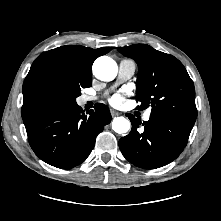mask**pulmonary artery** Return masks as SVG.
<instances>
[{
  "label": "pulmonary artery",
  "mask_w": 221,
  "mask_h": 221,
  "mask_svg": "<svg viewBox=\"0 0 221 221\" xmlns=\"http://www.w3.org/2000/svg\"><path fill=\"white\" fill-rule=\"evenodd\" d=\"M136 71V64L134 61L129 60V59H122L119 62V67H118V76H117V82L121 83L124 81L129 80L135 73ZM98 97L92 96V95H85L82 97V102L87 103L90 101H95L97 100ZM151 115V111L148 110L145 112L143 119L145 121H148Z\"/></svg>",
  "instance_id": "pulmonary-artery-1"
}]
</instances>
